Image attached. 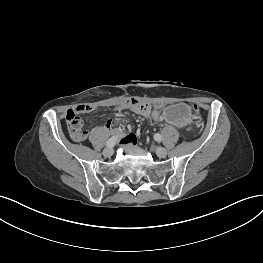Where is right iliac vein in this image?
Segmentation results:
<instances>
[{"instance_id": "63e3f726", "label": "right iliac vein", "mask_w": 263, "mask_h": 263, "mask_svg": "<svg viewBox=\"0 0 263 263\" xmlns=\"http://www.w3.org/2000/svg\"><path fill=\"white\" fill-rule=\"evenodd\" d=\"M113 153H114V150H113V148H111V147L105 148V149L103 150V155H104L105 157H111V156L113 155Z\"/></svg>"}]
</instances>
